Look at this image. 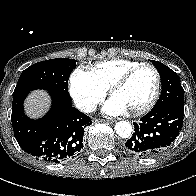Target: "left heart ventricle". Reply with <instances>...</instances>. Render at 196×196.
I'll list each match as a JSON object with an SVG mask.
<instances>
[{"label": "left heart ventricle", "instance_id": "left-heart-ventricle-1", "mask_svg": "<svg viewBox=\"0 0 196 196\" xmlns=\"http://www.w3.org/2000/svg\"><path fill=\"white\" fill-rule=\"evenodd\" d=\"M155 84V73L149 68H144L138 71L123 88L118 90L113 98L131 111L149 101L154 92Z\"/></svg>", "mask_w": 196, "mask_h": 196}]
</instances>
